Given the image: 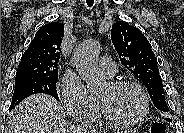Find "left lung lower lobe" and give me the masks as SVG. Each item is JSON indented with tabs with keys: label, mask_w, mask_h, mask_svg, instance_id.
<instances>
[{
	"label": "left lung lower lobe",
	"mask_w": 184,
	"mask_h": 133,
	"mask_svg": "<svg viewBox=\"0 0 184 133\" xmlns=\"http://www.w3.org/2000/svg\"><path fill=\"white\" fill-rule=\"evenodd\" d=\"M169 122L171 121V119H167Z\"/></svg>",
	"instance_id": "1"
}]
</instances>
